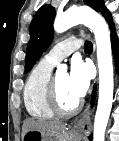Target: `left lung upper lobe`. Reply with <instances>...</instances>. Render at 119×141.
<instances>
[{"instance_id": "1", "label": "left lung upper lobe", "mask_w": 119, "mask_h": 141, "mask_svg": "<svg viewBox=\"0 0 119 141\" xmlns=\"http://www.w3.org/2000/svg\"><path fill=\"white\" fill-rule=\"evenodd\" d=\"M84 3L107 18L110 12L106 9L103 0H84ZM55 9L51 5H44L39 9L30 24V41L25 58V71L32 69L42 53L53 40V21Z\"/></svg>"}]
</instances>
